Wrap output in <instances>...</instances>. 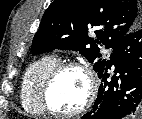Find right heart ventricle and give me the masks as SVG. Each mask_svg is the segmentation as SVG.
<instances>
[{
	"label": "right heart ventricle",
	"instance_id": "right-heart-ventricle-1",
	"mask_svg": "<svg viewBox=\"0 0 142 119\" xmlns=\"http://www.w3.org/2000/svg\"><path fill=\"white\" fill-rule=\"evenodd\" d=\"M59 64L55 55H46L34 61L24 73L20 99L26 112L33 115H43L45 110L40 102V90L48 73Z\"/></svg>",
	"mask_w": 142,
	"mask_h": 119
}]
</instances>
